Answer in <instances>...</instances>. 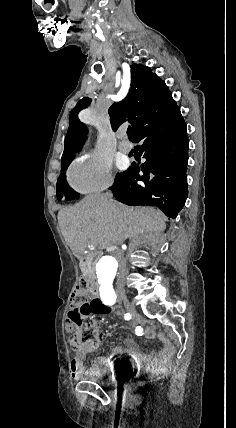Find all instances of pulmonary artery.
Wrapping results in <instances>:
<instances>
[{"label":"pulmonary artery","mask_w":236,"mask_h":428,"mask_svg":"<svg viewBox=\"0 0 236 428\" xmlns=\"http://www.w3.org/2000/svg\"><path fill=\"white\" fill-rule=\"evenodd\" d=\"M118 148H119V150H120L122 153H124V154H128V153H130V152L132 151L133 146H132V144H131L129 141H127V140H124V139H123V140L119 143Z\"/></svg>","instance_id":"obj_1"}]
</instances>
